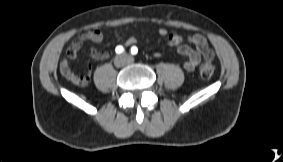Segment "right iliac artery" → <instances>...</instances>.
<instances>
[{
  "label": "right iliac artery",
  "instance_id": "obj_1",
  "mask_svg": "<svg viewBox=\"0 0 283 162\" xmlns=\"http://www.w3.org/2000/svg\"><path fill=\"white\" fill-rule=\"evenodd\" d=\"M116 53L120 54L124 51V48L122 46H117L116 49H115Z\"/></svg>",
  "mask_w": 283,
  "mask_h": 162
}]
</instances>
